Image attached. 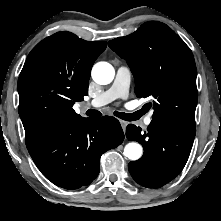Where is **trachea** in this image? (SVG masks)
<instances>
[{
  "instance_id": "1",
  "label": "trachea",
  "mask_w": 221,
  "mask_h": 221,
  "mask_svg": "<svg viewBox=\"0 0 221 221\" xmlns=\"http://www.w3.org/2000/svg\"><path fill=\"white\" fill-rule=\"evenodd\" d=\"M86 114L90 117H99L101 116V113L97 110H93V109H90L86 112ZM143 114V111L140 110L138 112H135V113H132V114H127V113H124V112H117L115 111L114 112V115L120 119H123L125 121H134V120H137L139 119Z\"/></svg>"
}]
</instances>
